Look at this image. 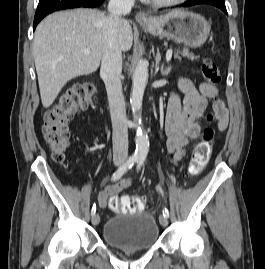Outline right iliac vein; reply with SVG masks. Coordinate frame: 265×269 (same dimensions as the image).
<instances>
[{"label": "right iliac vein", "instance_id": "obj_1", "mask_svg": "<svg viewBox=\"0 0 265 269\" xmlns=\"http://www.w3.org/2000/svg\"><path fill=\"white\" fill-rule=\"evenodd\" d=\"M114 164L116 166H119L121 164V161L116 160V161H114ZM99 222H100V216L98 214H94L93 217H92V224L93 225H98Z\"/></svg>", "mask_w": 265, "mask_h": 269}]
</instances>
